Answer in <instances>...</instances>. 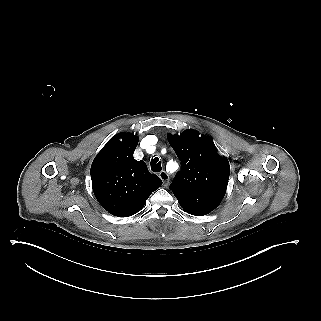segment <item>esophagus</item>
I'll return each instance as SVG.
<instances>
[{
    "label": "esophagus",
    "instance_id": "1",
    "mask_svg": "<svg viewBox=\"0 0 321 321\" xmlns=\"http://www.w3.org/2000/svg\"><path fill=\"white\" fill-rule=\"evenodd\" d=\"M159 177L161 178V180L164 183V186H168L169 183V175L167 174L166 171H161L159 174Z\"/></svg>",
    "mask_w": 321,
    "mask_h": 321
}]
</instances>
